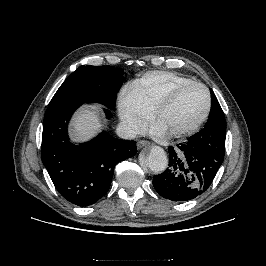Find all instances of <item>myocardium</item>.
Wrapping results in <instances>:
<instances>
[{
	"label": "myocardium",
	"instance_id": "f54148a6",
	"mask_svg": "<svg viewBox=\"0 0 266 266\" xmlns=\"http://www.w3.org/2000/svg\"><path fill=\"white\" fill-rule=\"evenodd\" d=\"M189 87H199L205 92L206 107H205L203 114L193 124H191L185 128H181V129H177V130H174L172 132H169L173 136L187 135V134H191V133L195 132L207 120V118L211 112L212 97H211V93H210L209 89L205 85H203L202 83H199L196 81H191V82H186V83L177 85V86L173 87L169 92H167L161 98V100L157 103V105L155 106V108L153 110V118L157 121L161 112L166 107H168L170 104H172L173 101L178 97V95L182 91H184L185 89H187Z\"/></svg>",
	"mask_w": 266,
	"mask_h": 266
}]
</instances>
